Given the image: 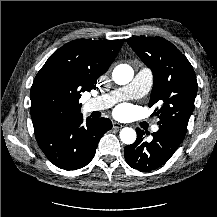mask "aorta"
Here are the masks:
<instances>
[{
	"mask_svg": "<svg viewBox=\"0 0 217 217\" xmlns=\"http://www.w3.org/2000/svg\"><path fill=\"white\" fill-rule=\"evenodd\" d=\"M134 71L127 64L116 66L112 72L113 81L118 85L128 84L133 79ZM120 139L124 144H133L136 140V132L130 127H125L120 131Z\"/></svg>",
	"mask_w": 217,
	"mask_h": 217,
	"instance_id": "obj_1",
	"label": "aorta"
}]
</instances>
